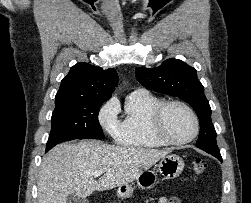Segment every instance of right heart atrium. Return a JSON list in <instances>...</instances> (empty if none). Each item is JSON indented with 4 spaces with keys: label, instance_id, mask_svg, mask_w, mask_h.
Wrapping results in <instances>:
<instances>
[{
    "label": "right heart atrium",
    "instance_id": "obj_1",
    "mask_svg": "<svg viewBox=\"0 0 251 203\" xmlns=\"http://www.w3.org/2000/svg\"><path fill=\"white\" fill-rule=\"evenodd\" d=\"M118 104L115 99H110L100 110L99 121L103 129L115 135L120 127L118 119Z\"/></svg>",
    "mask_w": 251,
    "mask_h": 203
}]
</instances>
